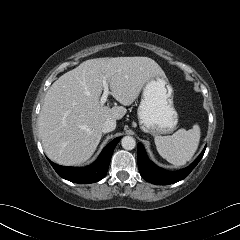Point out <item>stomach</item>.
Wrapping results in <instances>:
<instances>
[{
    "instance_id": "obj_1",
    "label": "stomach",
    "mask_w": 240,
    "mask_h": 240,
    "mask_svg": "<svg viewBox=\"0 0 240 240\" xmlns=\"http://www.w3.org/2000/svg\"><path fill=\"white\" fill-rule=\"evenodd\" d=\"M173 97V88L165 76L157 75L146 82L137 111L142 131L153 136L174 131L178 113Z\"/></svg>"
}]
</instances>
